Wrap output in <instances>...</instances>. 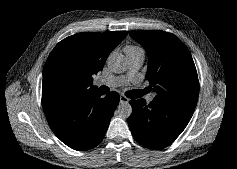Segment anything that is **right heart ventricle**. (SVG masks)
<instances>
[{
	"label": "right heart ventricle",
	"mask_w": 237,
	"mask_h": 169,
	"mask_svg": "<svg viewBox=\"0 0 237 169\" xmlns=\"http://www.w3.org/2000/svg\"><path fill=\"white\" fill-rule=\"evenodd\" d=\"M125 52L129 58L137 56V55H144V51L140 46L136 45H129L125 48Z\"/></svg>",
	"instance_id": "obj_1"
}]
</instances>
